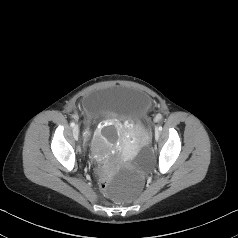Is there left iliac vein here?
<instances>
[{"mask_svg": "<svg viewBox=\"0 0 238 238\" xmlns=\"http://www.w3.org/2000/svg\"><path fill=\"white\" fill-rule=\"evenodd\" d=\"M160 137V132L158 129L155 130V139L158 140Z\"/></svg>", "mask_w": 238, "mask_h": 238, "instance_id": "left-iliac-vein-1", "label": "left iliac vein"}]
</instances>
